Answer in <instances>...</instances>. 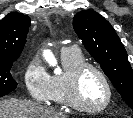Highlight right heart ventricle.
Wrapping results in <instances>:
<instances>
[{
    "label": "right heart ventricle",
    "mask_w": 133,
    "mask_h": 118,
    "mask_svg": "<svg viewBox=\"0 0 133 118\" xmlns=\"http://www.w3.org/2000/svg\"><path fill=\"white\" fill-rule=\"evenodd\" d=\"M64 72L51 76L52 93L51 100L59 105L68 106L66 99V80L68 74L78 65L84 62L82 53L77 51H68L61 54Z\"/></svg>",
    "instance_id": "1"
}]
</instances>
